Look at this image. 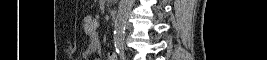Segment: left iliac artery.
<instances>
[{"label": "left iliac artery", "mask_w": 267, "mask_h": 60, "mask_svg": "<svg viewBox=\"0 0 267 60\" xmlns=\"http://www.w3.org/2000/svg\"><path fill=\"white\" fill-rule=\"evenodd\" d=\"M119 56H120V59H121V60H125V59H126V57H125V55H124L123 53L120 54Z\"/></svg>", "instance_id": "obj_1"}]
</instances>
